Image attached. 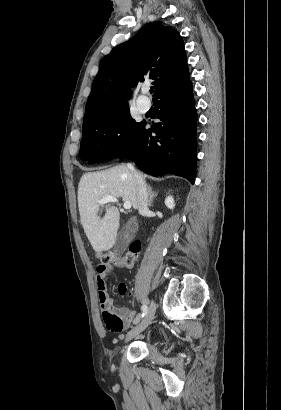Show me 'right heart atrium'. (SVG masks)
Instances as JSON below:
<instances>
[{"instance_id":"1","label":"right heart atrium","mask_w":281,"mask_h":410,"mask_svg":"<svg viewBox=\"0 0 281 410\" xmlns=\"http://www.w3.org/2000/svg\"><path fill=\"white\" fill-rule=\"evenodd\" d=\"M118 135H119L118 129H117V128L112 129V130L109 132V135H108L109 140H110L111 142H115V141L117 140V138H118Z\"/></svg>"}]
</instances>
